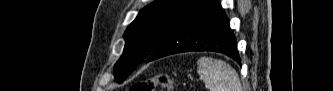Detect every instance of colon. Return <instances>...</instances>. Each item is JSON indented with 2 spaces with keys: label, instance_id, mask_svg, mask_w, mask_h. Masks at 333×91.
Returning a JSON list of instances; mask_svg holds the SVG:
<instances>
[{
  "label": "colon",
  "instance_id": "5ec220e1",
  "mask_svg": "<svg viewBox=\"0 0 333 91\" xmlns=\"http://www.w3.org/2000/svg\"><path fill=\"white\" fill-rule=\"evenodd\" d=\"M158 86L167 91L174 90L172 79L167 74H159L153 78L133 84L130 91H154Z\"/></svg>",
  "mask_w": 333,
  "mask_h": 91
}]
</instances>
